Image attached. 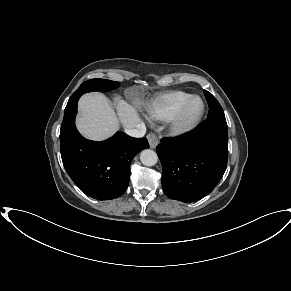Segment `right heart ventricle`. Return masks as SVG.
Segmentation results:
<instances>
[{
	"mask_svg": "<svg viewBox=\"0 0 291 291\" xmlns=\"http://www.w3.org/2000/svg\"><path fill=\"white\" fill-rule=\"evenodd\" d=\"M192 94L173 90L157 95L147 106L148 116L157 121L170 120Z\"/></svg>",
	"mask_w": 291,
	"mask_h": 291,
	"instance_id": "1",
	"label": "right heart ventricle"
}]
</instances>
